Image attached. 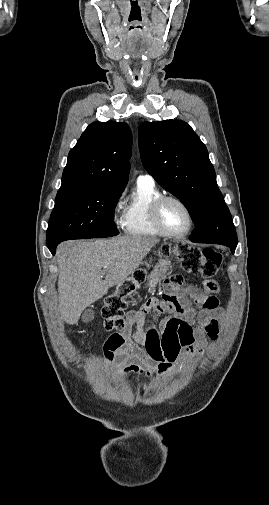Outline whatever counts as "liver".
<instances>
[{
	"label": "liver",
	"mask_w": 269,
	"mask_h": 505,
	"mask_svg": "<svg viewBox=\"0 0 269 505\" xmlns=\"http://www.w3.org/2000/svg\"><path fill=\"white\" fill-rule=\"evenodd\" d=\"M157 243L151 237L122 236L60 244L58 292L63 320L69 325L76 324L82 311L104 296L110 287L123 283L133 274Z\"/></svg>",
	"instance_id": "obj_1"
}]
</instances>
